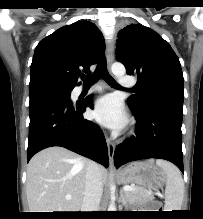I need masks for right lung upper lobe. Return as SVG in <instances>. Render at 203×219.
I'll return each instance as SVG.
<instances>
[{
	"instance_id": "right-lung-upper-lobe-1",
	"label": "right lung upper lobe",
	"mask_w": 203,
	"mask_h": 219,
	"mask_svg": "<svg viewBox=\"0 0 203 219\" xmlns=\"http://www.w3.org/2000/svg\"><path fill=\"white\" fill-rule=\"evenodd\" d=\"M105 49L98 28L86 20L56 30L41 40L35 48L30 82L54 80L74 87L78 77L90 73Z\"/></svg>"
}]
</instances>
